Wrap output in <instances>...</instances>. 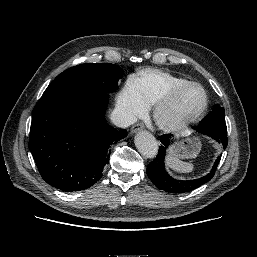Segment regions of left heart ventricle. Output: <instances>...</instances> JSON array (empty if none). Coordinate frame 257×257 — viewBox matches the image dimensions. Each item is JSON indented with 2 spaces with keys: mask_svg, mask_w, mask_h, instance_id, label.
Instances as JSON below:
<instances>
[{
  "mask_svg": "<svg viewBox=\"0 0 257 257\" xmlns=\"http://www.w3.org/2000/svg\"><path fill=\"white\" fill-rule=\"evenodd\" d=\"M204 100L203 92L198 87L182 91L165 109L164 115L170 120H183L195 114Z\"/></svg>",
  "mask_w": 257,
  "mask_h": 257,
  "instance_id": "obj_1",
  "label": "left heart ventricle"
}]
</instances>
